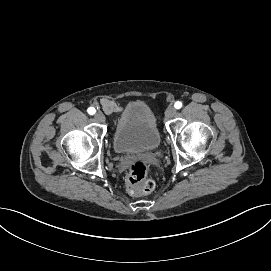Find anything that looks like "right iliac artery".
Listing matches in <instances>:
<instances>
[{"mask_svg":"<svg viewBox=\"0 0 271 271\" xmlns=\"http://www.w3.org/2000/svg\"><path fill=\"white\" fill-rule=\"evenodd\" d=\"M87 111H88V113H89L90 115H93V114H95V112H96L95 108H93V107H89Z\"/></svg>","mask_w":271,"mask_h":271,"instance_id":"1","label":"right iliac artery"}]
</instances>
